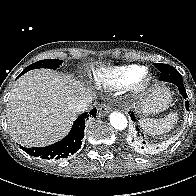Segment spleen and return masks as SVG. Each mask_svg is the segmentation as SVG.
<instances>
[{"instance_id": "1", "label": "spleen", "mask_w": 196, "mask_h": 196, "mask_svg": "<svg viewBox=\"0 0 196 196\" xmlns=\"http://www.w3.org/2000/svg\"><path fill=\"white\" fill-rule=\"evenodd\" d=\"M178 121V114L172 112L160 119L143 118L139 120L141 129L150 135H160L170 131Z\"/></svg>"}]
</instances>
